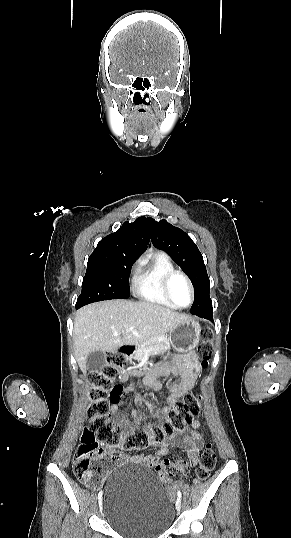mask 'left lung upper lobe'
Returning a JSON list of instances; mask_svg holds the SVG:
<instances>
[{"instance_id":"5c2ea615","label":"left lung upper lobe","mask_w":291,"mask_h":538,"mask_svg":"<svg viewBox=\"0 0 291 538\" xmlns=\"http://www.w3.org/2000/svg\"><path fill=\"white\" fill-rule=\"evenodd\" d=\"M153 245L167 252L188 275L194 286V302L190 312L201 307H211L210 281L206 266L197 245L181 229L166 220L159 222L147 218Z\"/></svg>"}]
</instances>
